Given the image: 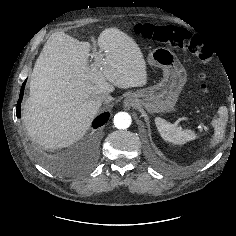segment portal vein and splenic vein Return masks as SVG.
Returning <instances> with one entry per match:
<instances>
[{
  "label": "portal vein and splenic vein",
  "instance_id": "obj_1",
  "mask_svg": "<svg viewBox=\"0 0 236 236\" xmlns=\"http://www.w3.org/2000/svg\"><path fill=\"white\" fill-rule=\"evenodd\" d=\"M100 57H102V54L99 55ZM200 127H204L202 124H200Z\"/></svg>",
  "mask_w": 236,
  "mask_h": 236
}]
</instances>
